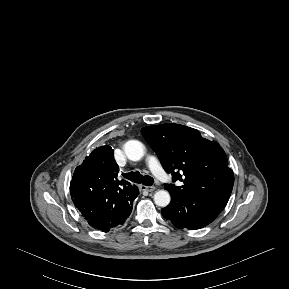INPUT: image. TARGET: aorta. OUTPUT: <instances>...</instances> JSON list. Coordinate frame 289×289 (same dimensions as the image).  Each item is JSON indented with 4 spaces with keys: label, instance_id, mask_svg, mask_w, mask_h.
<instances>
[{
    "label": "aorta",
    "instance_id": "obj_1",
    "mask_svg": "<svg viewBox=\"0 0 289 289\" xmlns=\"http://www.w3.org/2000/svg\"><path fill=\"white\" fill-rule=\"evenodd\" d=\"M124 151L129 160L139 161L144 155V146L137 140H129L124 145ZM171 197L168 191L159 190L154 194V202L157 206L166 207Z\"/></svg>",
    "mask_w": 289,
    "mask_h": 289
}]
</instances>
